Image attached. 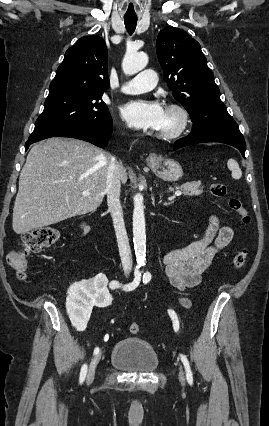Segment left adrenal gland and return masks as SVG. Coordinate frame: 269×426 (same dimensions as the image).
Instances as JSON below:
<instances>
[{
    "instance_id": "obj_1",
    "label": "left adrenal gland",
    "mask_w": 269,
    "mask_h": 426,
    "mask_svg": "<svg viewBox=\"0 0 269 426\" xmlns=\"http://www.w3.org/2000/svg\"><path fill=\"white\" fill-rule=\"evenodd\" d=\"M162 198V195H160V199ZM160 202H162V200H160ZM172 203V201L170 202H165L164 205H170Z\"/></svg>"
}]
</instances>
